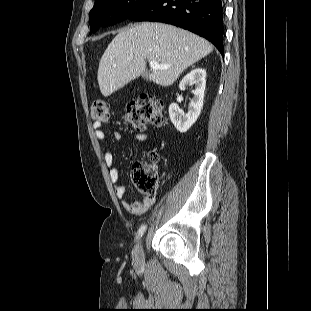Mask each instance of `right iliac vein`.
Returning a JSON list of instances; mask_svg holds the SVG:
<instances>
[{
  "instance_id": "obj_1",
  "label": "right iliac vein",
  "mask_w": 311,
  "mask_h": 311,
  "mask_svg": "<svg viewBox=\"0 0 311 311\" xmlns=\"http://www.w3.org/2000/svg\"><path fill=\"white\" fill-rule=\"evenodd\" d=\"M144 254L142 248V242L140 241L134 249V262L137 266L141 265L143 262Z\"/></svg>"
}]
</instances>
